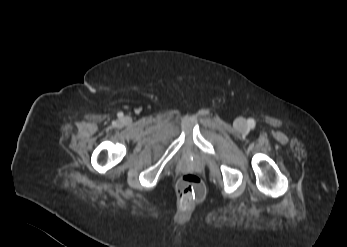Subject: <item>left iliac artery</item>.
Returning <instances> with one entry per match:
<instances>
[{
    "label": "left iliac artery",
    "instance_id": "44dca946",
    "mask_svg": "<svg viewBox=\"0 0 347 247\" xmlns=\"http://www.w3.org/2000/svg\"><path fill=\"white\" fill-rule=\"evenodd\" d=\"M249 125H250V127L254 126V120L253 119L249 120Z\"/></svg>",
    "mask_w": 347,
    "mask_h": 247
}]
</instances>
